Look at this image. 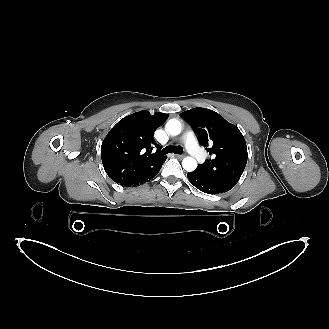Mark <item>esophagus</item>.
<instances>
[{"mask_svg": "<svg viewBox=\"0 0 329 329\" xmlns=\"http://www.w3.org/2000/svg\"><path fill=\"white\" fill-rule=\"evenodd\" d=\"M175 157H177L179 159H182V158H184V155H182V154H176Z\"/></svg>", "mask_w": 329, "mask_h": 329, "instance_id": "esophagus-1", "label": "esophagus"}]
</instances>
